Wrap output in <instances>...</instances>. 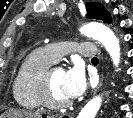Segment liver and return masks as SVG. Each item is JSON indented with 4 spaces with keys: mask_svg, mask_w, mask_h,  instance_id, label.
<instances>
[{
    "mask_svg": "<svg viewBox=\"0 0 133 118\" xmlns=\"http://www.w3.org/2000/svg\"><path fill=\"white\" fill-rule=\"evenodd\" d=\"M2 118L9 117V118H42L39 113H32L25 110H9L8 112L4 113Z\"/></svg>",
    "mask_w": 133,
    "mask_h": 118,
    "instance_id": "6515ba94",
    "label": "liver"
}]
</instances>
